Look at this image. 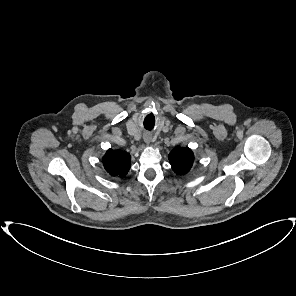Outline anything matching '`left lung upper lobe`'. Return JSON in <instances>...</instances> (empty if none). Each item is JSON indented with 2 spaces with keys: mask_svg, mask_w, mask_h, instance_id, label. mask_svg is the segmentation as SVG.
Segmentation results:
<instances>
[{
  "mask_svg": "<svg viewBox=\"0 0 296 296\" xmlns=\"http://www.w3.org/2000/svg\"><path fill=\"white\" fill-rule=\"evenodd\" d=\"M169 161L174 172L186 174L193 165L194 155L188 147L181 148L177 146L170 152Z\"/></svg>",
  "mask_w": 296,
  "mask_h": 296,
  "instance_id": "1",
  "label": "left lung upper lobe"
}]
</instances>
